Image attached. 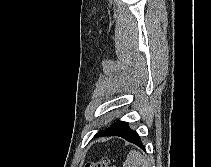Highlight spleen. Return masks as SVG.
<instances>
[{
  "mask_svg": "<svg viewBox=\"0 0 211 167\" xmlns=\"http://www.w3.org/2000/svg\"><path fill=\"white\" fill-rule=\"evenodd\" d=\"M123 167H150V163L140 152L131 150L127 155Z\"/></svg>",
  "mask_w": 211,
  "mask_h": 167,
  "instance_id": "obj_1",
  "label": "spleen"
}]
</instances>
